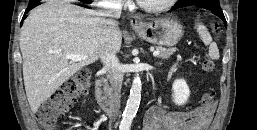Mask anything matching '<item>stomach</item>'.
I'll return each mask as SVG.
<instances>
[{
	"mask_svg": "<svg viewBox=\"0 0 257 130\" xmlns=\"http://www.w3.org/2000/svg\"><path fill=\"white\" fill-rule=\"evenodd\" d=\"M134 31L143 40L160 45L173 46L183 36V25L175 18H160L147 23Z\"/></svg>",
	"mask_w": 257,
	"mask_h": 130,
	"instance_id": "stomach-1",
	"label": "stomach"
}]
</instances>
